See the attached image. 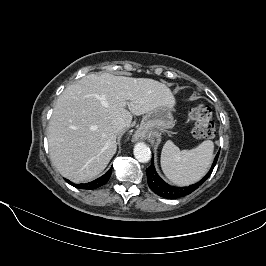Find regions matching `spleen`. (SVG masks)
<instances>
[{
    "mask_svg": "<svg viewBox=\"0 0 266 266\" xmlns=\"http://www.w3.org/2000/svg\"><path fill=\"white\" fill-rule=\"evenodd\" d=\"M214 144L203 141L190 150H180L172 141H167L161 153V167L166 177L177 185H189L200 180L213 160Z\"/></svg>",
    "mask_w": 266,
    "mask_h": 266,
    "instance_id": "spleen-1",
    "label": "spleen"
}]
</instances>
